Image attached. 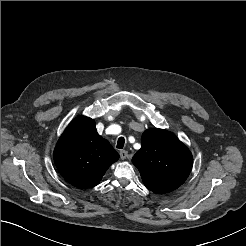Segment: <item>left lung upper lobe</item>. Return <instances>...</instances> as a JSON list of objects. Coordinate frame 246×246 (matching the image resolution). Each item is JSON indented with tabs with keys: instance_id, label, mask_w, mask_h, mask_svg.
Here are the masks:
<instances>
[{
	"instance_id": "left-lung-upper-lobe-1",
	"label": "left lung upper lobe",
	"mask_w": 246,
	"mask_h": 246,
	"mask_svg": "<svg viewBox=\"0 0 246 246\" xmlns=\"http://www.w3.org/2000/svg\"><path fill=\"white\" fill-rule=\"evenodd\" d=\"M145 186L159 194L181 186L193 165L189 149L171 132L148 129L141 138V149L132 158Z\"/></svg>"
}]
</instances>
